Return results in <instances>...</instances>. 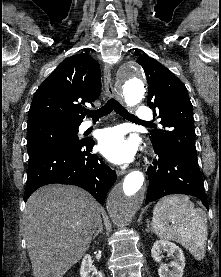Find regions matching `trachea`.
<instances>
[{
	"mask_svg": "<svg viewBox=\"0 0 221 277\" xmlns=\"http://www.w3.org/2000/svg\"><path fill=\"white\" fill-rule=\"evenodd\" d=\"M115 111L117 114L120 116L127 118V119H132L138 122H143V123H148L145 121H142L135 117L134 115H131L130 113L127 112V110L115 99L111 98L110 100L105 103L104 106L101 108L95 110V111H86V115L93 118V119H99L105 115H108L111 111Z\"/></svg>",
	"mask_w": 221,
	"mask_h": 277,
	"instance_id": "3493384b",
	"label": "trachea"
}]
</instances>
